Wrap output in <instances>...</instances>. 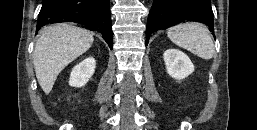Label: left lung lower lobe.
Segmentation results:
<instances>
[{"label": "left lung lower lobe", "instance_id": "obj_1", "mask_svg": "<svg viewBox=\"0 0 257 130\" xmlns=\"http://www.w3.org/2000/svg\"><path fill=\"white\" fill-rule=\"evenodd\" d=\"M206 23L214 32L213 12L209 0H154L146 27V45L153 32L181 22Z\"/></svg>", "mask_w": 257, "mask_h": 130}]
</instances>
